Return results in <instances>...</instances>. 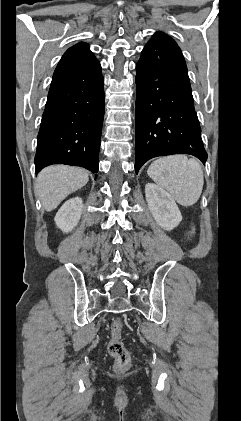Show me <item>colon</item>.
Here are the masks:
<instances>
[{
    "label": "colon",
    "mask_w": 241,
    "mask_h": 421,
    "mask_svg": "<svg viewBox=\"0 0 241 421\" xmlns=\"http://www.w3.org/2000/svg\"><path fill=\"white\" fill-rule=\"evenodd\" d=\"M122 329L123 321L119 318L113 320L110 326L111 336L107 346L108 353L115 360L114 367L118 371L125 370L130 364V355L121 339Z\"/></svg>",
    "instance_id": "1"
}]
</instances>
